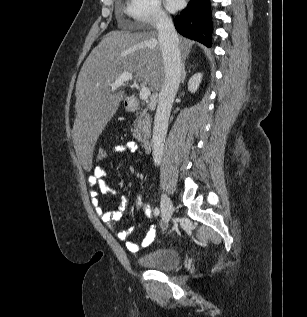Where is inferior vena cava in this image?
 <instances>
[{"instance_id":"602c4592","label":"inferior vena cava","mask_w":307,"mask_h":317,"mask_svg":"<svg viewBox=\"0 0 307 317\" xmlns=\"http://www.w3.org/2000/svg\"><path fill=\"white\" fill-rule=\"evenodd\" d=\"M158 41L162 52L165 80L158 98L154 117L152 155L156 165L162 161L164 142L172 104L179 88L182 73V58L179 50V38L172 20L161 15L156 22Z\"/></svg>"}]
</instances>
